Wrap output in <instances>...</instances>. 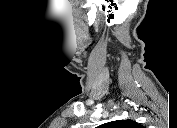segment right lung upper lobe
Masks as SVG:
<instances>
[{
    "label": "right lung upper lobe",
    "mask_w": 177,
    "mask_h": 128,
    "mask_svg": "<svg viewBox=\"0 0 177 128\" xmlns=\"http://www.w3.org/2000/svg\"><path fill=\"white\" fill-rule=\"evenodd\" d=\"M103 128H141L142 125L133 120H117L101 125Z\"/></svg>",
    "instance_id": "cb5924a9"
}]
</instances>
